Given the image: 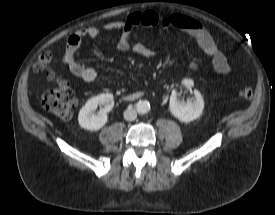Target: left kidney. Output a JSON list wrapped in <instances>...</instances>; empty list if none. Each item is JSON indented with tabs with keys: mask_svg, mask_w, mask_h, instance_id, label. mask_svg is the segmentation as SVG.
<instances>
[{
	"mask_svg": "<svg viewBox=\"0 0 275 215\" xmlns=\"http://www.w3.org/2000/svg\"><path fill=\"white\" fill-rule=\"evenodd\" d=\"M182 84L188 88L194 85L193 80L183 79ZM194 101L183 102L177 99V94L172 91L169 101V108L174 117L182 122H191L196 120L204 109V100L198 90H194Z\"/></svg>",
	"mask_w": 275,
	"mask_h": 215,
	"instance_id": "obj_1",
	"label": "left kidney"
}]
</instances>
